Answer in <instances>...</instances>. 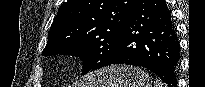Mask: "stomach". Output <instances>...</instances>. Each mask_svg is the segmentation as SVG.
I'll return each instance as SVG.
<instances>
[{
    "label": "stomach",
    "mask_w": 205,
    "mask_h": 87,
    "mask_svg": "<svg viewBox=\"0 0 205 87\" xmlns=\"http://www.w3.org/2000/svg\"><path fill=\"white\" fill-rule=\"evenodd\" d=\"M80 87H150V79L138 67L115 65L92 72Z\"/></svg>",
    "instance_id": "0dacf381"
}]
</instances>
